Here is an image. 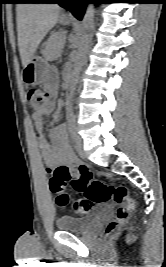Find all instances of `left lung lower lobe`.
Here are the masks:
<instances>
[{"label": "left lung lower lobe", "mask_w": 166, "mask_h": 267, "mask_svg": "<svg viewBox=\"0 0 166 267\" xmlns=\"http://www.w3.org/2000/svg\"><path fill=\"white\" fill-rule=\"evenodd\" d=\"M49 3H58L69 9L77 19L81 20L88 3L99 4L103 2L101 0H51Z\"/></svg>", "instance_id": "0a47b994"}]
</instances>
